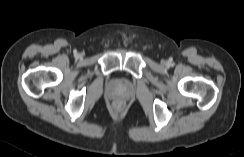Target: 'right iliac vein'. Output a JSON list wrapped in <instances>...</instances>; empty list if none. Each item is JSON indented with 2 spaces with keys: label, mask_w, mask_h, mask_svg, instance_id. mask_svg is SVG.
<instances>
[{
  "label": "right iliac vein",
  "mask_w": 244,
  "mask_h": 157,
  "mask_svg": "<svg viewBox=\"0 0 244 157\" xmlns=\"http://www.w3.org/2000/svg\"><path fill=\"white\" fill-rule=\"evenodd\" d=\"M79 56H80L79 54L76 55V57H79Z\"/></svg>",
  "instance_id": "1"
}]
</instances>
